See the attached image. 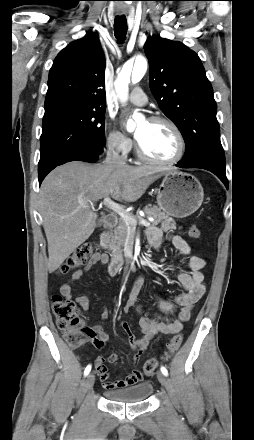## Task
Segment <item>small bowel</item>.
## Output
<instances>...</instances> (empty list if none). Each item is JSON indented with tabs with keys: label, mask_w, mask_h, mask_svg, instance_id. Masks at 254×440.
Wrapping results in <instances>:
<instances>
[{
	"label": "small bowel",
	"mask_w": 254,
	"mask_h": 440,
	"mask_svg": "<svg viewBox=\"0 0 254 440\" xmlns=\"http://www.w3.org/2000/svg\"><path fill=\"white\" fill-rule=\"evenodd\" d=\"M165 239V235L156 227H150L146 231L147 244L158 249ZM168 239L175 246V248L183 255L188 257L187 268L176 274V279L183 287L184 291L178 294L174 301H166L156 297L155 305L156 312H143L138 305V298L143 288L144 279L139 276L135 279L127 303L124 307L126 311L135 308L140 315L138 324L141 330V337L136 338L131 327L127 323H122V328L126 332L129 344L134 351L133 363L137 364L140 357L147 349L151 339L159 333L173 334L182 330L183 325L187 322L192 314L194 305L201 299L206 291L204 274L202 272L206 265L203 258L195 255H190L191 249L189 244L180 236H169ZM108 261L106 254H95L89 262L81 269L75 271L70 280L63 284L60 288L61 294L67 299H73L74 302L84 311L90 308L89 299L85 295L73 296V286L81 277L88 273L93 267L98 264H105ZM177 306L180 307L177 311ZM176 313V317L171 315ZM102 320L109 317V311L102 308L100 311ZM93 336L89 338L90 342L97 349H102L109 339V333L103 325H96L92 329ZM119 361L117 354H110L109 356H99L96 359V366L99 373L100 380L105 389L124 388L143 381V373L139 369H134L126 378L109 381V371L106 366L107 363L114 364Z\"/></svg>",
	"instance_id": "1"
}]
</instances>
